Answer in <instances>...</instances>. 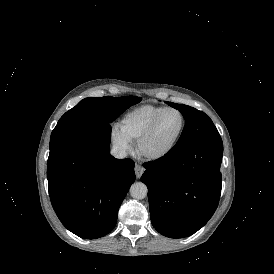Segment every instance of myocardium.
I'll use <instances>...</instances> for the list:
<instances>
[{"instance_id": "f54148a6", "label": "myocardium", "mask_w": 274, "mask_h": 274, "mask_svg": "<svg viewBox=\"0 0 274 274\" xmlns=\"http://www.w3.org/2000/svg\"><path fill=\"white\" fill-rule=\"evenodd\" d=\"M169 111H176L178 112L181 117H182V126L180 128L179 133L177 134V136L174 138V140L172 141V143L170 144V146L163 151L160 154L157 155H151L148 154L144 151L143 149V144L145 142V140L152 134V132L154 131V129L156 128L157 124L159 123V121L161 120V118ZM187 126V118L186 115L184 113V111L178 107H166L164 108L149 124L148 126L144 129V131L140 134V136L138 137V139L136 140V153L138 155L139 158H141L144 161L147 162H152V163H156V162H160L163 161L164 159H166L176 148L177 144L179 143L180 139L182 138L185 129Z\"/></svg>"}]
</instances>
